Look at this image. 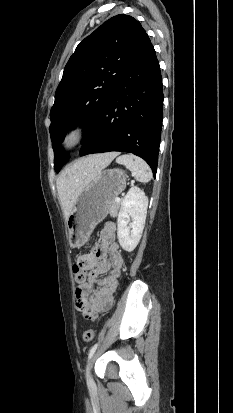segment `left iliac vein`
Masks as SVG:
<instances>
[{
	"label": "left iliac vein",
	"instance_id": "obj_1",
	"mask_svg": "<svg viewBox=\"0 0 233 413\" xmlns=\"http://www.w3.org/2000/svg\"><path fill=\"white\" fill-rule=\"evenodd\" d=\"M95 358H96V354L92 355L91 361H90L89 366H88V372H87V373H88V378H89V380H91V373H90V371H91L92 364H93Z\"/></svg>",
	"mask_w": 233,
	"mask_h": 413
}]
</instances>
